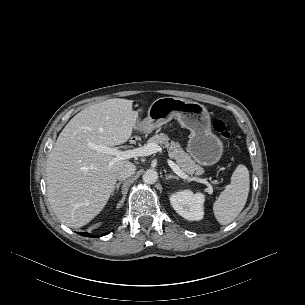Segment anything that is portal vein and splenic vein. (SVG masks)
<instances>
[{
  "mask_svg": "<svg viewBox=\"0 0 305 305\" xmlns=\"http://www.w3.org/2000/svg\"><path fill=\"white\" fill-rule=\"evenodd\" d=\"M89 147L92 149H95L98 152L114 156V158L110 161L109 166L113 165L114 162H117L120 160L149 156V155H152L157 152L162 153V148L159 145L154 144V143H149L142 147L129 149V150H125V151H122L120 149L113 148V147H108L105 145H96L93 143H89ZM166 160H167L168 165L172 168V170L179 177H181L183 179H190L188 177V175L185 174L173 160H171L169 158H167ZM191 180L206 184L208 186V192H212V185L207 181V179L193 177V178H191Z\"/></svg>",
  "mask_w": 305,
  "mask_h": 305,
  "instance_id": "1",
  "label": "portal vein and splenic vein"
}]
</instances>
